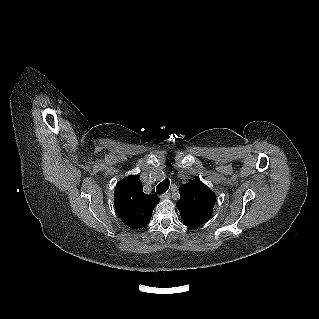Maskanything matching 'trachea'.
<instances>
[{
  "label": "trachea",
  "instance_id": "obj_1",
  "mask_svg": "<svg viewBox=\"0 0 319 319\" xmlns=\"http://www.w3.org/2000/svg\"><path fill=\"white\" fill-rule=\"evenodd\" d=\"M170 181L169 179L163 180L161 183L158 184L156 187V192L158 194H164L169 189Z\"/></svg>",
  "mask_w": 319,
  "mask_h": 319
}]
</instances>
